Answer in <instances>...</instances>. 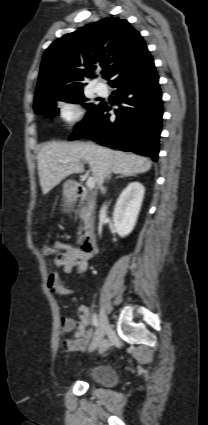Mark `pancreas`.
Wrapping results in <instances>:
<instances>
[{"instance_id": "cf45deb5", "label": "pancreas", "mask_w": 208, "mask_h": 425, "mask_svg": "<svg viewBox=\"0 0 208 425\" xmlns=\"http://www.w3.org/2000/svg\"><path fill=\"white\" fill-rule=\"evenodd\" d=\"M89 213H90V215H92V213H93V211H94V201H89ZM82 230H84V229H82ZM81 240H82V237H80L79 238V241L78 242H81Z\"/></svg>"}]
</instances>
